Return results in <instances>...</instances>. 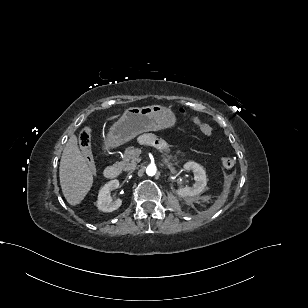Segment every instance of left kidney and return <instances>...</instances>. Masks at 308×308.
<instances>
[{
  "label": "left kidney",
  "mask_w": 308,
  "mask_h": 308,
  "mask_svg": "<svg viewBox=\"0 0 308 308\" xmlns=\"http://www.w3.org/2000/svg\"><path fill=\"white\" fill-rule=\"evenodd\" d=\"M185 170H192L194 174L195 184L193 187H184L177 190L180 197H193L201 194L207 185L206 172L201 165L195 162H187L184 165Z\"/></svg>",
  "instance_id": "1"
}]
</instances>
